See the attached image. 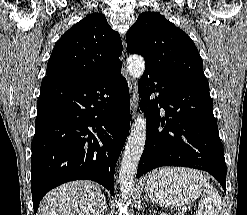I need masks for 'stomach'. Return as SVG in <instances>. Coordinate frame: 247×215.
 <instances>
[{
    "mask_svg": "<svg viewBox=\"0 0 247 215\" xmlns=\"http://www.w3.org/2000/svg\"><path fill=\"white\" fill-rule=\"evenodd\" d=\"M202 175L191 169L162 168L148 176L146 192L165 207H181L196 200L203 187Z\"/></svg>",
    "mask_w": 247,
    "mask_h": 215,
    "instance_id": "obj_1",
    "label": "stomach"
}]
</instances>
